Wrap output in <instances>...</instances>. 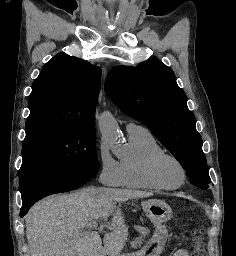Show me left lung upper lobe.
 <instances>
[{"instance_id": "obj_1", "label": "left lung upper lobe", "mask_w": 236, "mask_h": 256, "mask_svg": "<svg viewBox=\"0 0 236 256\" xmlns=\"http://www.w3.org/2000/svg\"><path fill=\"white\" fill-rule=\"evenodd\" d=\"M105 92L119 109L151 130L180 162L193 185L203 190L209 187L196 119L171 68L157 59L136 67H114L106 78Z\"/></svg>"}]
</instances>
